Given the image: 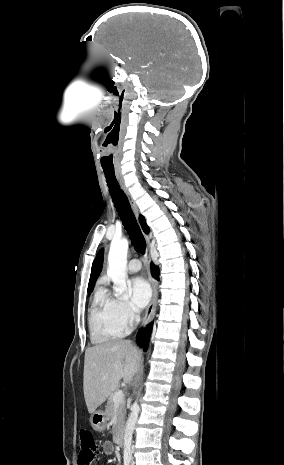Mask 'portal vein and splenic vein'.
<instances>
[{
    "instance_id": "18ae733b",
    "label": "portal vein and splenic vein",
    "mask_w": 284,
    "mask_h": 465,
    "mask_svg": "<svg viewBox=\"0 0 284 465\" xmlns=\"http://www.w3.org/2000/svg\"><path fill=\"white\" fill-rule=\"evenodd\" d=\"M123 399H124L123 391H118V393H115L113 397L114 407H119V405L123 403Z\"/></svg>"
}]
</instances>
